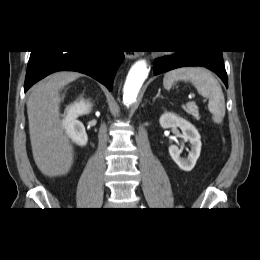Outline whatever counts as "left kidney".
<instances>
[{
  "instance_id": "1",
  "label": "left kidney",
  "mask_w": 260,
  "mask_h": 260,
  "mask_svg": "<svg viewBox=\"0 0 260 260\" xmlns=\"http://www.w3.org/2000/svg\"><path fill=\"white\" fill-rule=\"evenodd\" d=\"M159 123L164 129L172 127H179L181 129L183 141L191 144V150L189 151L188 157L181 158V150L176 145H171L169 147V153L180 169L186 172L191 171L201 152V137L198 130L187 120L170 112H165L160 117Z\"/></svg>"
}]
</instances>
